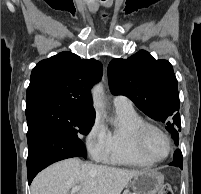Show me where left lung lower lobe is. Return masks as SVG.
I'll list each match as a JSON object with an SVG mask.
<instances>
[{"label": "left lung lower lobe", "instance_id": "0a47b994", "mask_svg": "<svg viewBox=\"0 0 201 194\" xmlns=\"http://www.w3.org/2000/svg\"><path fill=\"white\" fill-rule=\"evenodd\" d=\"M173 140H174L175 144L178 145L179 136L175 137ZM170 165L179 167L180 169L183 168V156L179 149L175 151L173 161L170 163Z\"/></svg>", "mask_w": 201, "mask_h": 194}]
</instances>
